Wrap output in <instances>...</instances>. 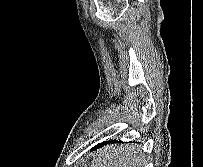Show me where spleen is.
<instances>
[{"label":"spleen","mask_w":203,"mask_h":167,"mask_svg":"<svg viewBox=\"0 0 203 167\" xmlns=\"http://www.w3.org/2000/svg\"><path fill=\"white\" fill-rule=\"evenodd\" d=\"M138 158L129 153H106L93 160L91 167H136Z\"/></svg>","instance_id":"obj_1"}]
</instances>
